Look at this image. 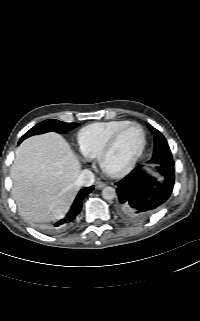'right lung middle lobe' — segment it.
Listing matches in <instances>:
<instances>
[{
	"label": "right lung middle lobe",
	"mask_w": 200,
	"mask_h": 321,
	"mask_svg": "<svg viewBox=\"0 0 200 321\" xmlns=\"http://www.w3.org/2000/svg\"><path fill=\"white\" fill-rule=\"evenodd\" d=\"M78 126H79V123H65L55 119H48L40 122L39 124L31 128L28 132H26L20 139L19 143H21L24 139L33 135L42 134V133L51 132V131L64 134Z\"/></svg>",
	"instance_id": "right-lung-middle-lobe-1"
}]
</instances>
